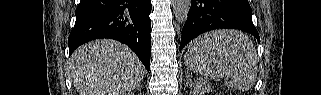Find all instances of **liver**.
I'll list each match as a JSON object with an SVG mask.
<instances>
[{"instance_id":"1","label":"liver","mask_w":321,"mask_h":95,"mask_svg":"<svg viewBox=\"0 0 321 95\" xmlns=\"http://www.w3.org/2000/svg\"><path fill=\"white\" fill-rule=\"evenodd\" d=\"M79 95H126L138 87L144 66L124 44L96 40L79 47L69 60Z\"/></svg>"}]
</instances>
